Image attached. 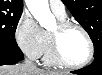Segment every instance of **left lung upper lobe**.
<instances>
[{
    "mask_svg": "<svg viewBox=\"0 0 102 75\" xmlns=\"http://www.w3.org/2000/svg\"><path fill=\"white\" fill-rule=\"evenodd\" d=\"M73 17L87 31L94 56L102 54V0H62Z\"/></svg>",
    "mask_w": 102,
    "mask_h": 75,
    "instance_id": "obj_1",
    "label": "left lung upper lobe"
}]
</instances>
